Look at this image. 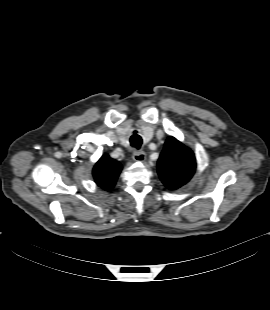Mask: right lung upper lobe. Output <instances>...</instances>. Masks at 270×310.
Wrapping results in <instances>:
<instances>
[{
  "label": "right lung upper lobe",
  "mask_w": 270,
  "mask_h": 310,
  "mask_svg": "<svg viewBox=\"0 0 270 310\" xmlns=\"http://www.w3.org/2000/svg\"><path fill=\"white\" fill-rule=\"evenodd\" d=\"M122 170L121 164L104 154L93 168V177L97 185L104 190H111Z\"/></svg>",
  "instance_id": "cb5924a9"
}]
</instances>
